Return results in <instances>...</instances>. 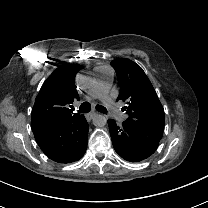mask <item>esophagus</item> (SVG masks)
I'll list each match as a JSON object with an SVG mask.
<instances>
[{
	"mask_svg": "<svg viewBox=\"0 0 208 208\" xmlns=\"http://www.w3.org/2000/svg\"><path fill=\"white\" fill-rule=\"evenodd\" d=\"M97 115L96 112H91L89 114L86 115L87 120H91L93 119L95 116Z\"/></svg>",
	"mask_w": 208,
	"mask_h": 208,
	"instance_id": "obj_1",
	"label": "esophagus"
}]
</instances>
